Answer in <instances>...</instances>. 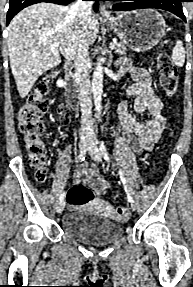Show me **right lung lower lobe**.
<instances>
[{"label":"right lung lower lobe","instance_id":"1","mask_svg":"<svg viewBox=\"0 0 193 287\" xmlns=\"http://www.w3.org/2000/svg\"><path fill=\"white\" fill-rule=\"evenodd\" d=\"M74 0H10L9 2V10L7 12V25L11 21V19L22 9H24L27 6H30L32 4L41 3V2H50L55 4H61V5H68L72 3ZM96 1L94 4V10H98V1L99 0H93Z\"/></svg>","mask_w":193,"mask_h":287}]
</instances>
